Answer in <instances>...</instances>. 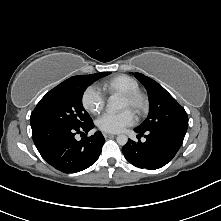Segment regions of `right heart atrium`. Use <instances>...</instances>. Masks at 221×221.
I'll return each mask as SVG.
<instances>
[{
  "instance_id": "1",
  "label": "right heart atrium",
  "mask_w": 221,
  "mask_h": 221,
  "mask_svg": "<svg viewBox=\"0 0 221 221\" xmlns=\"http://www.w3.org/2000/svg\"><path fill=\"white\" fill-rule=\"evenodd\" d=\"M82 105L92 114L100 113L105 106V96L96 86H88L82 94Z\"/></svg>"
}]
</instances>
